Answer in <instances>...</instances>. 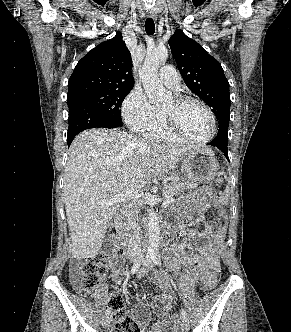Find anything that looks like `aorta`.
<instances>
[{"label": "aorta", "instance_id": "762f6f07", "mask_svg": "<svg viewBox=\"0 0 291 332\" xmlns=\"http://www.w3.org/2000/svg\"><path fill=\"white\" fill-rule=\"evenodd\" d=\"M168 58V49L160 46L149 50L139 77L150 103L162 104L171 99V93L166 91L158 77L159 66ZM149 246L148 254L157 255L159 251L160 227L157 213L153 208L148 211Z\"/></svg>", "mask_w": 291, "mask_h": 332}]
</instances>
